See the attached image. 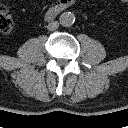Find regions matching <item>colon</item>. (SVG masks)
<instances>
[{
  "mask_svg": "<svg viewBox=\"0 0 128 128\" xmlns=\"http://www.w3.org/2000/svg\"><path fill=\"white\" fill-rule=\"evenodd\" d=\"M13 20L8 8L0 4V32L8 33L11 31Z\"/></svg>",
  "mask_w": 128,
  "mask_h": 128,
  "instance_id": "5ec220e1",
  "label": "colon"
}]
</instances>
